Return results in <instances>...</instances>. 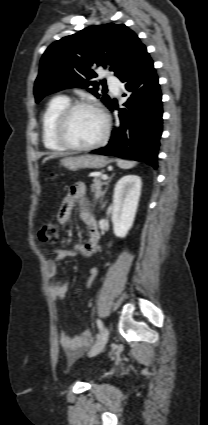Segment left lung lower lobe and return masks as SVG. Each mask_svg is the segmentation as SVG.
<instances>
[{"label": "left lung lower lobe", "instance_id": "left-lung-lower-lobe-1", "mask_svg": "<svg viewBox=\"0 0 208 425\" xmlns=\"http://www.w3.org/2000/svg\"><path fill=\"white\" fill-rule=\"evenodd\" d=\"M128 96L118 109L120 123L104 148L92 153L143 161L157 168L159 139L162 134V94L153 61L146 52L136 68L121 79ZM108 108L117 106L111 102Z\"/></svg>", "mask_w": 208, "mask_h": 425}]
</instances>
